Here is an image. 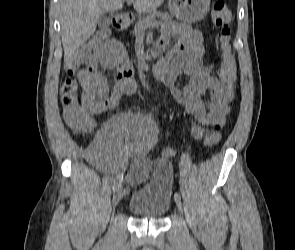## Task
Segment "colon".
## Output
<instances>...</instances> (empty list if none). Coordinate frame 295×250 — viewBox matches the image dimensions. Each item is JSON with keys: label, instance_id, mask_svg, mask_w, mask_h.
Returning <instances> with one entry per match:
<instances>
[{"label": "colon", "instance_id": "obj_1", "mask_svg": "<svg viewBox=\"0 0 295 250\" xmlns=\"http://www.w3.org/2000/svg\"><path fill=\"white\" fill-rule=\"evenodd\" d=\"M211 18L221 29L219 47L221 66L219 76L226 86H234L236 81V60L231 44V13L224 2L218 1L212 5ZM108 33L105 30L97 32L79 52L87 54L100 53L107 43ZM79 85L75 78L67 77L61 86V105L67 124L78 132H90L94 128L93 114L98 113L96 107H88L79 98ZM207 145H212L211 135L205 138Z\"/></svg>", "mask_w": 295, "mask_h": 250}]
</instances>
